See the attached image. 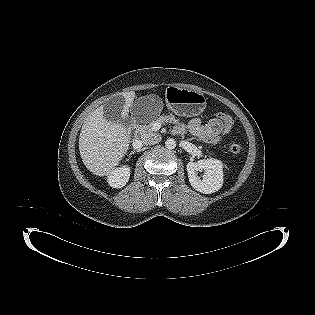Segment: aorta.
<instances>
[{
	"label": "aorta",
	"instance_id": "1",
	"mask_svg": "<svg viewBox=\"0 0 315 315\" xmlns=\"http://www.w3.org/2000/svg\"><path fill=\"white\" fill-rule=\"evenodd\" d=\"M165 147L167 149H174L176 147V141L173 138H169L165 141Z\"/></svg>",
	"mask_w": 315,
	"mask_h": 315
}]
</instances>
